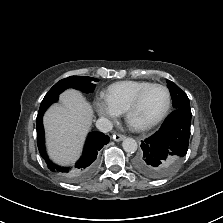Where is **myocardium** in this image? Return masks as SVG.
<instances>
[{
	"label": "myocardium",
	"instance_id": "obj_1",
	"mask_svg": "<svg viewBox=\"0 0 223 223\" xmlns=\"http://www.w3.org/2000/svg\"><path fill=\"white\" fill-rule=\"evenodd\" d=\"M155 87H160V88L164 89L166 94H167V103H166V106H165L163 112L161 113V115L158 118H156L155 120H153L152 122H149L147 124H142V125L131 124L130 120H129L131 114L139 106V104L141 103L143 97L147 94V92L150 91L151 89L155 88ZM170 107H171V93H170L169 89L163 84L153 83V84L147 86L146 88H144L143 90H141L136 95V97L132 100V102L128 105V107L124 111L125 119L132 126V128H134L135 130H137V131H147L149 129H152L156 125H158L167 116V114L170 110Z\"/></svg>",
	"mask_w": 223,
	"mask_h": 223
}]
</instances>
